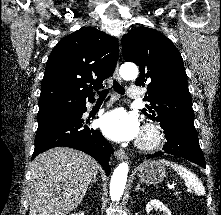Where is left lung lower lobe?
Returning <instances> with one entry per match:
<instances>
[{
  "label": "left lung lower lobe",
  "instance_id": "left-lung-lower-lobe-1",
  "mask_svg": "<svg viewBox=\"0 0 221 215\" xmlns=\"http://www.w3.org/2000/svg\"><path fill=\"white\" fill-rule=\"evenodd\" d=\"M166 135V142L162 151L148 155V158L161 155H175L185 158L205 168V158L199 145L194 122L168 121L160 123Z\"/></svg>",
  "mask_w": 221,
  "mask_h": 215
}]
</instances>
